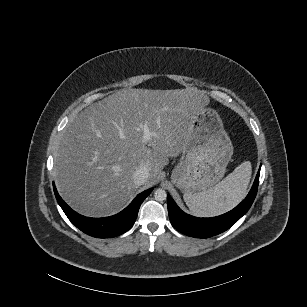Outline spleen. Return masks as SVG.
I'll list each match as a JSON object with an SVG mask.
<instances>
[{"mask_svg": "<svg viewBox=\"0 0 307 307\" xmlns=\"http://www.w3.org/2000/svg\"><path fill=\"white\" fill-rule=\"evenodd\" d=\"M251 174V163L245 161L214 187L204 192L185 193L183 199L195 216L213 217L224 214L245 198Z\"/></svg>", "mask_w": 307, "mask_h": 307, "instance_id": "1", "label": "spleen"}]
</instances>
